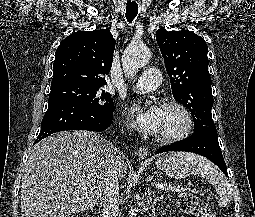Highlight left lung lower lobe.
<instances>
[{
  "mask_svg": "<svg viewBox=\"0 0 255 217\" xmlns=\"http://www.w3.org/2000/svg\"><path fill=\"white\" fill-rule=\"evenodd\" d=\"M167 151H185L202 155L216 164L228 176L215 127H202L195 130L188 138L175 144L161 147L156 153Z\"/></svg>",
  "mask_w": 255,
  "mask_h": 217,
  "instance_id": "0a47b994",
  "label": "left lung lower lobe"
}]
</instances>
